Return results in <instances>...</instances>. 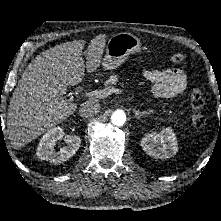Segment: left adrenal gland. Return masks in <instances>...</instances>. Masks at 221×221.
Returning a JSON list of instances; mask_svg holds the SVG:
<instances>
[{
  "mask_svg": "<svg viewBox=\"0 0 221 221\" xmlns=\"http://www.w3.org/2000/svg\"><path fill=\"white\" fill-rule=\"evenodd\" d=\"M133 112L135 114L136 119H140L143 116L149 115L152 113V110H148V111H138L136 109H133Z\"/></svg>",
  "mask_w": 221,
  "mask_h": 221,
  "instance_id": "1",
  "label": "left adrenal gland"
}]
</instances>
